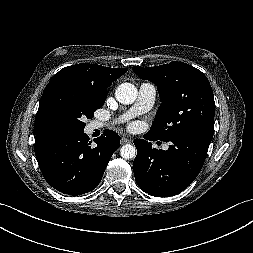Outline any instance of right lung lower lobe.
Masks as SVG:
<instances>
[{
	"label": "right lung lower lobe",
	"mask_w": 253,
	"mask_h": 253,
	"mask_svg": "<svg viewBox=\"0 0 253 253\" xmlns=\"http://www.w3.org/2000/svg\"><path fill=\"white\" fill-rule=\"evenodd\" d=\"M91 144L82 132L49 131L35 135V155L47 183L64 194L92 191L101 181L120 136L105 130Z\"/></svg>",
	"instance_id": "98d812e1"
}]
</instances>
